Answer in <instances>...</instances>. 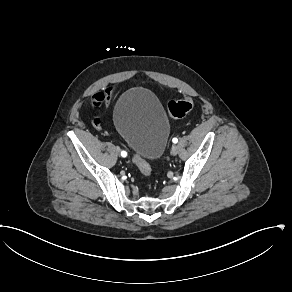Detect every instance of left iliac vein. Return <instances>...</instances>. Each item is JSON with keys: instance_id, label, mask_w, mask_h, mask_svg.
Returning a JSON list of instances; mask_svg holds the SVG:
<instances>
[{"instance_id": "4c4485c4", "label": "left iliac vein", "mask_w": 292, "mask_h": 292, "mask_svg": "<svg viewBox=\"0 0 292 292\" xmlns=\"http://www.w3.org/2000/svg\"><path fill=\"white\" fill-rule=\"evenodd\" d=\"M178 151H179L178 146L177 145H173L172 148H171L172 155H177Z\"/></svg>"}]
</instances>
